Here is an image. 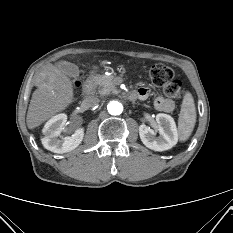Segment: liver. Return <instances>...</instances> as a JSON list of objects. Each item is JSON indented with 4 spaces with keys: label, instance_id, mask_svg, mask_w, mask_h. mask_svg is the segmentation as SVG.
I'll return each instance as SVG.
<instances>
[{
    "label": "liver",
    "instance_id": "liver-1",
    "mask_svg": "<svg viewBox=\"0 0 233 233\" xmlns=\"http://www.w3.org/2000/svg\"><path fill=\"white\" fill-rule=\"evenodd\" d=\"M37 89L33 92L27 112V126L34 129L74 101L73 85L57 65L48 64L36 75Z\"/></svg>",
    "mask_w": 233,
    "mask_h": 233
}]
</instances>
